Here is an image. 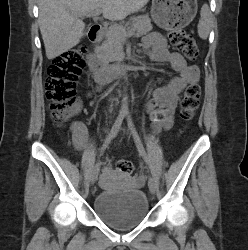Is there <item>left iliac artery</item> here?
<instances>
[{
	"instance_id": "1",
	"label": "left iliac artery",
	"mask_w": 248,
	"mask_h": 250,
	"mask_svg": "<svg viewBox=\"0 0 248 250\" xmlns=\"http://www.w3.org/2000/svg\"><path fill=\"white\" fill-rule=\"evenodd\" d=\"M126 116H127V124H128L129 129H130V132H131V134L133 136V139H134V142H135L136 147L138 149V152L143 157L146 164H148L149 160H148L147 154H146L145 149L143 147V144H142V142L140 140L138 132H137L135 126H134L132 118H131V116L129 114H127Z\"/></svg>"
}]
</instances>
